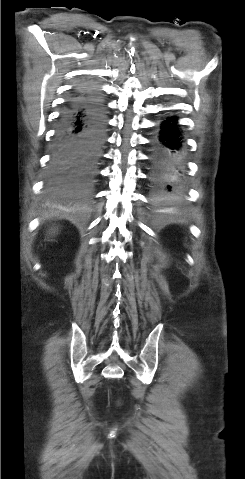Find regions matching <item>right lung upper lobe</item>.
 <instances>
[{
    "label": "right lung upper lobe",
    "mask_w": 245,
    "mask_h": 479,
    "mask_svg": "<svg viewBox=\"0 0 245 479\" xmlns=\"http://www.w3.org/2000/svg\"><path fill=\"white\" fill-rule=\"evenodd\" d=\"M87 91H88V93L85 94L84 97H89V96H91V95H93V94H97L96 91L93 89V87L90 86V85H88ZM74 96H75V97H78L79 94H76V95H74Z\"/></svg>",
    "instance_id": "obj_1"
}]
</instances>
